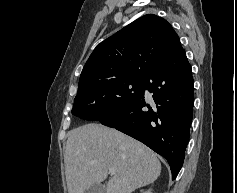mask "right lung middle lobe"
<instances>
[{"mask_svg":"<svg viewBox=\"0 0 237 193\" xmlns=\"http://www.w3.org/2000/svg\"><path fill=\"white\" fill-rule=\"evenodd\" d=\"M144 78L125 77L102 81L78 90L72 114L96 121L129 105L141 92Z\"/></svg>","mask_w":237,"mask_h":193,"instance_id":"dd1d6c3e","label":"right lung middle lobe"}]
</instances>
